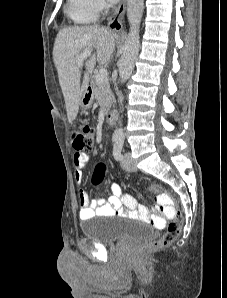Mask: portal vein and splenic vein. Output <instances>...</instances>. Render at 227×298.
Returning a JSON list of instances; mask_svg holds the SVG:
<instances>
[{"label":"portal vein and splenic vein","mask_w":227,"mask_h":298,"mask_svg":"<svg viewBox=\"0 0 227 298\" xmlns=\"http://www.w3.org/2000/svg\"><path fill=\"white\" fill-rule=\"evenodd\" d=\"M90 56H91L90 51H84L83 53H81L76 59L77 65L82 66L84 60H86ZM107 77H108L107 70L106 69H100L99 72L96 75V81L97 82H103V81L107 80Z\"/></svg>","instance_id":"portal-vein-and-splenic-vein-1"}]
</instances>
